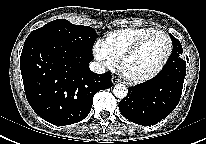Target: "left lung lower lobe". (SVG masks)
<instances>
[{
    "label": "left lung lower lobe",
    "mask_w": 206,
    "mask_h": 144,
    "mask_svg": "<svg viewBox=\"0 0 206 144\" xmlns=\"http://www.w3.org/2000/svg\"><path fill=\"white\" fill-rule=\"evenodd\" d=\"M186 75L185 61L172 54L161 72L150 81L129 88L119 103L129 121L150 126L166 118L179 103Z\"/></svg>",
    "instance_id": "1"
}]
</instances>
